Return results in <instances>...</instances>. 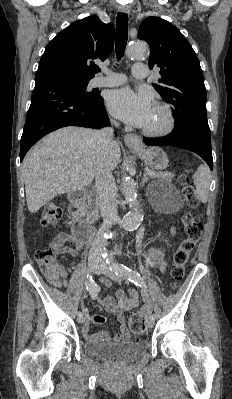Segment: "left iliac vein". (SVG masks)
<instances>
[{
  "label": "left iliac vein",
  "instance_id": "1",
  "mask_svg": "<svg viewBox=\"0 0 232 399\" xmlns=\"http://www.w3.org/2000/svg\"><path fill=\"white\" fill-rule=\"evenodd\" d=\"M93 272L96 275H105V277H108V279H112L114 283H117L120 280V277H117V274L115 275V272H111L107 265H100L99 267L94 268ZM153 326L154 322L152 320H149L147 323V328H152Z\"/></svg>",
  "mask_w": 232,
  "mask_h": 399
}]
</instances>
